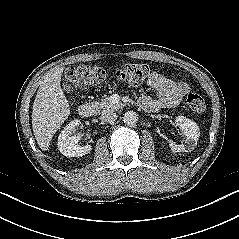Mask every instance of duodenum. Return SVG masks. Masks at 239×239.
I'll list each match as a JSON object with an SVG mask.
<instances>
[{
	"instance_id": "1",
	"label": "duodenum",
	"mask_w": 239,
	"mask_h": 239,
	"mask_svg": "<svg viewBox=\"0 0 239 239\" xmlns=\"http://www.w3.org/2000/svg\"><path fill=\"white\" fill-rule=\"evenodd\" d=\"M93 107L90 104H82L78 108V113L83 118H89L93 114Z\"/></svg>"
}]
</instances>
